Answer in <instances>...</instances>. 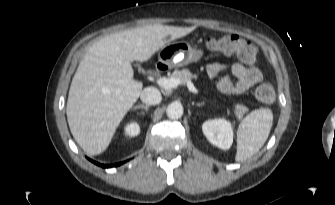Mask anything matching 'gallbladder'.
Returning a JSON list of instances; mask_svg holds the SVG:
<instances>
[{"instance_id":"gallbladder-1","label":"gallbladder","mask_w":335,"mask_h":205,"mask_svg":"<svg viewBox=\"0 0 335 205\" xmlns=\"http://www.w3.org/2000/svg\"><path fill=\"white\" fill-rule=\"evenodd\" d=\"M135 67L137 69L138 72H141L142 71V68L139 64H135Z\"/></svg>"}]
</instances>
